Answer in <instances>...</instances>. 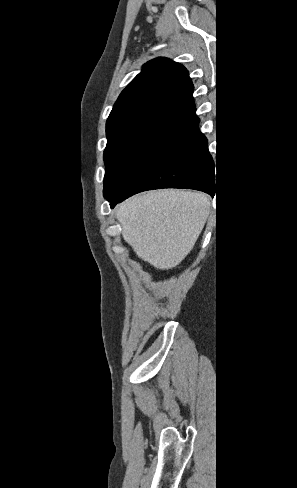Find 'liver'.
Wrapping results in <instances>:
<instances>
[{"instance_id": "obj_1", "label": "liver", "mask_w": 297, "mask_h": 488, "mask_svg": "<svg viewBox=\"0 0 297 488\" xmlns=\"http://www.w3.org/2000/svg\"><path fill=\"white\" fill-rule=\"evenodd\" d=\"M203 193L158 190L127 199L116 208L122 236L136 255L157 269L178 266L193 249L209 215Z\"/></svg>"}]
</instances>
